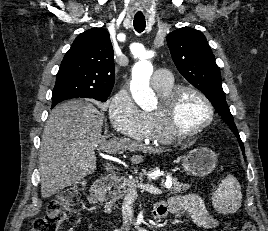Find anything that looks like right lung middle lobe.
I'll use <instances>...</instances> for the list:
<instances>
[{
    "label": "right lung middle lobe",
    "instance_id": "1",
    "mask_svg": "<svg viewBox=\"0 0 268 231\" xmlns=\"http://www.w3.org/2000/svg\"><path fill=\"white\" fill-rule=\"evenodd\" d=\"M66 94V92L62 89H55L53 90V96H52V102L54 100H58L60 98H62L64 95ZM108 96H100V97H95L94 99L99 100L101 102H105L107 100ZM55 105H52V107H54Z\"/></svg>",
    "mask_w": 268,
    "mask_h": 231
}]
</instances>
